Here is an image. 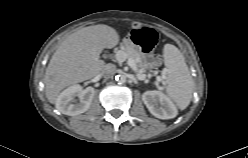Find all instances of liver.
<instances>
[{"label": "liver", "instance_id": "obj_1", "mask_svg": "<svg viewBox=\"0 0 248 158\" xmlns=\"http://www.w3.org/2000/svg\"><path fill=\"white\" fill-rule=\"evenodd\" d=\"M118 43L117 31L107 25L88 26L70 34L54 52L46 68L44 84L48 101L55 104L64 88L102 72L105 62L99 59L100 53Z\"/></svg>", "mask_w": 248, "mask_h": 158}]
</instances>
